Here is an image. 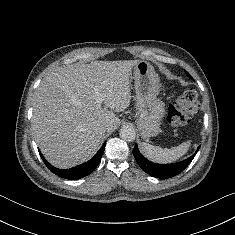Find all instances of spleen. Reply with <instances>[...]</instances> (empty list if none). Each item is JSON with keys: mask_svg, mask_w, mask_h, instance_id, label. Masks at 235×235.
Wrapping results in <instances>:
<instances>
[{"mask_svg": "<svg viewBox=\"0 0 235 235\" xmlns=\"http://www.w3.org/2000/svg\"><path fill=\"white\" fill-rule=\"evenodd\" d=\"M190 145L191 142L187 141L177 147H172L171 149L153 146L146 142H143L141 146L144 155L151 161L158 163H171L185 155Z\"/></svg>", "mask_w": 235, "mask_h": 235, "instance_id": "spleen-1", "label": "spleen"}]
</instances>
